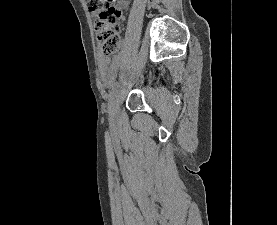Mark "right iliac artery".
Returning <instances> with one entry per match:
<instances>
[{
    "label": "right iliac artery",
    "instance_id": "82829eb1",
    "mask_svg": "<svg viewBox=\"0 0 277 225\" xmlns=\"http://www.w3.org/2000/svg\"><path fill=\"white\" fill-rule=\"evenodd\" d=\"M120 88H121L120 84H116L115 86L112 87V90L109 94L108 109H109V115L111 116V118H112L113 101L118 91L120 90Z\"/></svg>",
    "mask_w": 277,
    "mask_h": 225
}]
</instances>
